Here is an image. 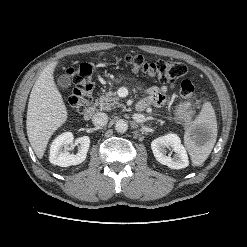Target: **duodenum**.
<instances>
[{
	"label": "duodenum",
	"mask_w": 247,
	"mask_h": 247,
	"mask_svg": "<svg viewBox=\"0 0 247 247\" xmlns=\"http://www.w3.org/2000/svg\"><path fill=\"white\" fill-rule=\"evenodd\" d=\"M146 104H144L142 101L139 102L137 105H136V109L139 110V111H143L145 108H146ZM96 112V106L94 104H91L84 112V118L86 120H90L93 115L95 114Z\"/></svg>",
	"instance_id": "obj_1"
}]
</instances>
